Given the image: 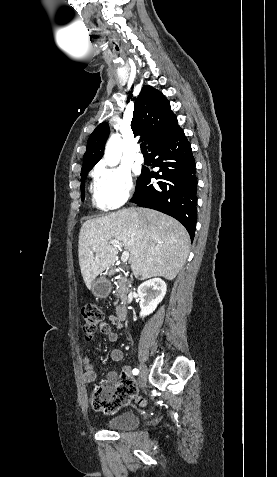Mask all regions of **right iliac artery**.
<instances>
[{"label":"right iliac artery","instance_id":"1","mask_svg":"<svg viewBox=\"0 0 277 477\" xmlns=\"http://www.w3.org/2000/svg\"><path fill=\"white\" fill-rule=\"evenodd\" d=\"M132 372H133V374H134V375H138V373H139V370L135 368V369H133V371H132Z\"/></svg>","mask_w":277,"mask_h":477}]
</instances>
